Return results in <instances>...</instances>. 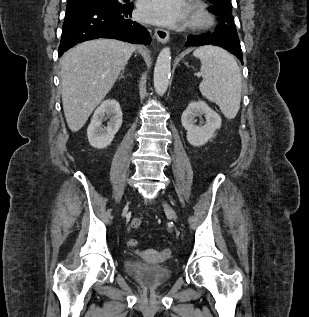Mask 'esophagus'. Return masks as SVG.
Instances as JSON below:
<instances>
[{"instance_id":"esophagus-1","label":"esophagus","mask_w":309,"mask_h":317,"mask_svg":"<svg viewBox=\"0 0 309 317\" xmlns=\"http://www.w3.org/2000/svg\"><path fill=\"white\" fill-rule=\"evenodd\" d=\"M155 37L161 43H166L169 40V32L162 28H156L154 30Z\"/></svg>"}]
</instances>
